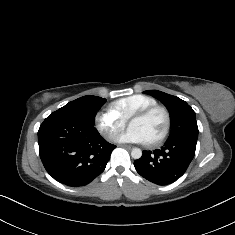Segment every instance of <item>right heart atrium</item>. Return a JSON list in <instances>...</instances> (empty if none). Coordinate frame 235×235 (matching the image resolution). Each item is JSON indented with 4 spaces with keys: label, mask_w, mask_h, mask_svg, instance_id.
Listing matches in <instances>:
<instances>
[{
    "label": "right heart atrium",
    "mask_w": 235,
    "mask_h": 235,
    "mask_svg": "<svg viewBox=\"0 0 235 235\" xmlns=\"http://www.w3.org/2000/svg\"><path fill=\"white\" fill-rule=\"evenodd\" d=\"M93 123L103 137L110 138L114 132L126 127L127 119L116 114L111 105H108L94 114Z\"/></svg>",
    "instance_id": "right-heart-atrium-1"
}]
</instances>
